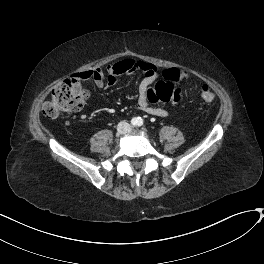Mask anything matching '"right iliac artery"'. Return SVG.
<instances>
[{
    "label": "right iliac artery",
    "instance_id": "right-iliac-artery-1",
    "mask_svg": "<svg viewBox=\"0 0 264 264\" xmlns=\"http://www.w3.org/2000/svg\"><path fill=\"white\" fill-rule=\"evenodd\" d=\"M137 121H138V119L133 118V119L131 120V124H132L133 126H137Z\"/></svg>",
    "mask_w": 264,
    "mask_h": 264
}]
</instances>
